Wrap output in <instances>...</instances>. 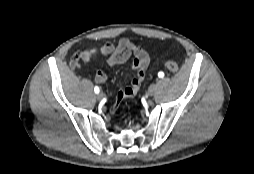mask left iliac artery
Wrapping results in <instances>:
<instances>
[{
    "label": "left iliac artery",
    "instance_id": "1",
    "mask_svg": "<svg viewBox=\"0 0 254 174\" xmlns=\"http://www.w3.org/2000/svg\"><path fill=\"white\" fill-rule=\"evenodd\" d=\"M158 76H159V78H163L164 77V73L163 72H159Z\"/></svg>",
    "mask_w": 254,
    "mask_h": 174
}]
</instances>
